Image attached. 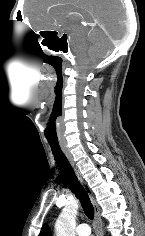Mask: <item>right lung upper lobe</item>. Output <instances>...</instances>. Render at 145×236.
I'll return each mask as SVG.
<instances>
[{"label": "right lung upper lobe", "mask_w": 145, "mask_h": 236, "mask_svg": "<svg viewBox=\"0 0 145 236\" xmlns=\"http://www.w3.org/2000/svg\"><path fill=\"white\" fill-rule=\"evenodd\" d=\"M39 236H51V231L47 224H44Z\"/></svg>", "instance_id": "cb5924a9"}]
</instances>
